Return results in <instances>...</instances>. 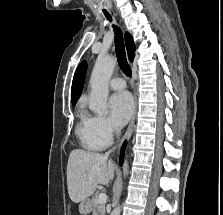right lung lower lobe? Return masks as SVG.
Returning <instances> with one entry per match:
<instances>
[{"instance_id": "1", "label": "right lung lower lobe", "mask_w": 223, "mask_h": 215, "mask_svg": "<svg viewBox=\"0 0 223 215\" xmlns=\"http://www.w3.org/2000/svg\"><path fill=\"white\" fill-rule=\"evenodd\" d=\"M125 148V143L123 144L121 150H122V154L120 155V165H122V162H123V157H124V154H123V150Z\"/></svg>"}]
</instances>
